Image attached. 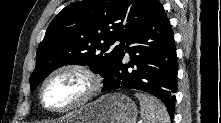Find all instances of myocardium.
Masks as SVG:
<instances>
[{
    "label": "myocardium",
    "mask_w": 221,
    "mask_h": 123,
    "mask_svg": "<svg viewBox=\"0 0 221 123\" xmlns=\"http://www.w3.org/2000/svg\"><path fill=\"white\" fill-rule=\"evenodd\" d=\"M63 72H76L84 76L86 80L88 81V89L80 99H78L76 102L68 106L61 107V108L50 107L46 104L44 100V90L47 84L49 83V81L53 77ZM101 88H102L101 77L97 73H95L93 70L81 64H65V65H61L55 68L45 77L39 89V99H40L41 105L43 106L45 110L52 112V113H65V112L78 109L86 105L87 103H89L99 94Z\"/></svg>",
    "instance_id": "myocardium-1"
}]
</instances>
